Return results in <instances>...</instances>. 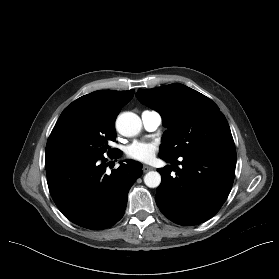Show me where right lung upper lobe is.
I'll list each match as a JSON object with an SVG mask.
<instances>
[{
    "label": "right lung upper lobe",
    "instance_id": "cb5924a9",
    "mask_svg": "<svg viewBox=\"0 0 279 279\" xmlns=\"http://www.w3.org/2000/svg\"><path fill=\"white\" fill-rule=\"evenodd\" d=\"M134 95V89L128 91L99 90L84 95L73 103L83 104L94 112L102 121L114 124L121 108Z\"/></svg>",
    "mask_w": 279,
    "mask_h": 279
}]
</instances>
